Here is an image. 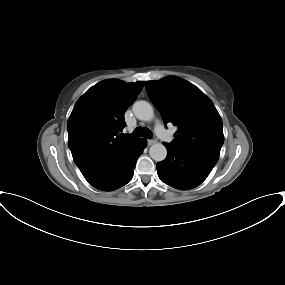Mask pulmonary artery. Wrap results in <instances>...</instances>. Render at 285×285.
I'll use <instances>...</instances> for the list:
<instances>
[{"label": "pulmonary artery", "mask_w": 285, "mask_h": 285, "mask_svg": "<svg viewBox=\"0 0 285 285\" xmlns=\"http://www.w3.org/2000/svg\"><path fill=\"white\" fill-rule=\"evenodd\" d=\"M156 134L164 140L166 143L171 144L173 141V137L171 134L164 128V126L158 123L155 127Z\"/></svg>", "instance_id": "obj_1"}]
</instances>
